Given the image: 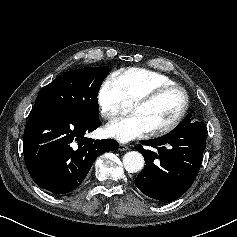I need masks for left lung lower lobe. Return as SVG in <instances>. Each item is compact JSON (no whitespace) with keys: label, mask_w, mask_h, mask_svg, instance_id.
Returning <instances> with one entry per match:
<instances>
[{"label":"left lung lower lobe","mask_w":237,"mask_h":237,"mask_svg":"<svg viewBox=\"0 0 237 237\" xmlns=\"http://www.w3.org/2000/svg\"><path fill=\"white\" fill-rule=\"evenodd\" d=\"M207 128L191 120L188 114L169 134L141 141L156 148L145 150L136 145L146 166L136 177L137 188L146 196L161 202H171L182 196L194 182L203 159Z\"/></svg>","instance_id":"0a47b994"}]
</instances>
